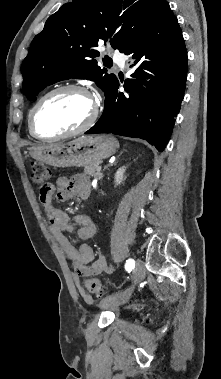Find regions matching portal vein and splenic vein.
Segmentation results:
<instances>
[{
  "mask_svg": "<svg viewBox=\"0 0 221 379\" xmlns=\"http://www.w3.org/2000/svg\"><path fill=\"white\" fill-rule=\"evenodd\" d=\"M100 170H101V167L98 168V171H100Z\"/></svg>",
  "mask_w": 221,
  "mask_h": 379,
  "instance_id": "portal-vein-and-splenic-vein-1",
  "label": "portal vein and splenic vein"
}]
</instances>
